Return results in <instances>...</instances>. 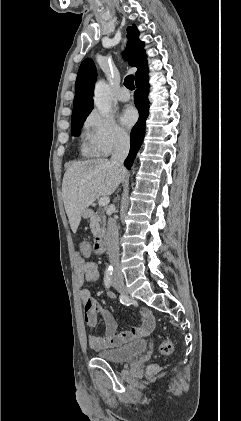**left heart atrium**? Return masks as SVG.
<instances>
[{"label":"left heart atrium","instance_id":"left-heart-atrium-1","mask_svg":"<svg viewBox=\"0 0 241 421\" xmlns=\"http://www.w3.org/2000/svg\"><path fill=\"white\" fill-rule=\"evenodd\" d=\"M137 120V112L131 106H126L121 114L120 121L126 127H131Z\"/></svg>","mask_w":241,"mask_h":421}]
</instances>
